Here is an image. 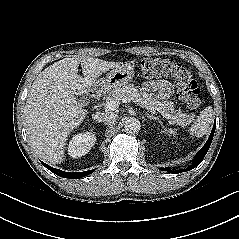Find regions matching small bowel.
Returning <instances> with one entry per match:
<instances>
[{
	"label": "small bowel",
	"mask_w": 239,
	"mask_h": 239,
	"mask_svg": "<svg viewBox=\"0 0 239 239\" xmlns=\"http://www.w3.org/2000/svg\"><path fill=\"white\" fill-rule=\"evenodd\" d=\"M145 88L157 92L163 98L169 97L173 92L172 85L165 80L148 81L145 83Z\"/></svg>",
	"instance_id": "obj_1"
}]
</instances>
